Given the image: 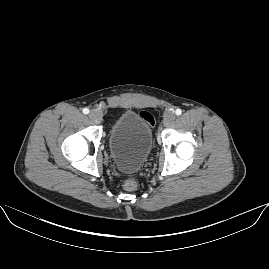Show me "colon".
I'll use <instances>...</instances> for the list:
<instances>
[{
	"label": "colon",
	"instance_id": "1",
	"mask_svg": "<svg viewBox=\"0 0 269 269\" xmlns=\"http://www.w3.org/2000/svg\"><path fill=\"white\" fill-rule=\"evenodd\" d=\"M139 117L142 121L148 123L150 126H154L156 123L155 116L146 110H142L139 112ZM124 189L127 191H134L138 187V180L134 177H127L123 183Z\"/></svg>",
	"mask_w": 269,
	"mask_h": 269
}]
</instances>
